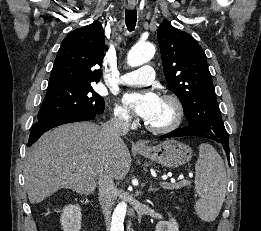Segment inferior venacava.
I'll use <instances>...</instances> for the list:
<instances>
[{
  "label": "inferior vena cava",
  "mask_w": 261,
  "mask_h": 231,
  "mask_svg": "<svg viewBox=\"0 0 261 231\" xmlns=\"http://www.w3.org/2000/svg\"><path fill=\"white\" fill-rule=\"evenodd\" d=\"M129 126L130 119L127 116H117L103 124L101 132L105 145L107 147H113L121 143V136L128 133ZM99 169V202L106 221L107 229L109 230L115 190L113 174L104 161L100 163Z\"/></svg>",
  "instance_id": "1"
}]
</instances>
